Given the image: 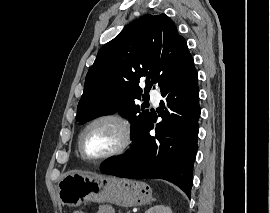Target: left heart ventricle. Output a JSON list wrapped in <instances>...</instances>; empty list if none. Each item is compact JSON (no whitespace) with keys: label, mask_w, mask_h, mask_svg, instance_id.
<instances>
[{"label":"left heart ventricle","mask_w":270,"mask_h":213,"mask_svg":"<svg viewBox=\"0 0 270 213\" xmlns=\"http://www.w3.org/2000/svg\"><path fill=\"white\" fill-rule=\"evenodd\" d=\"M122 130L113 122H99L85 134L83 148L90 157H101L120 145Z\"/></svg>","instance_id":"b2bd125f"}]
</instances>
